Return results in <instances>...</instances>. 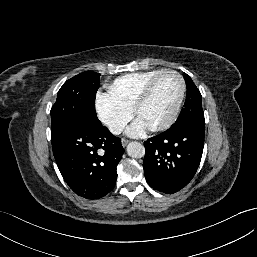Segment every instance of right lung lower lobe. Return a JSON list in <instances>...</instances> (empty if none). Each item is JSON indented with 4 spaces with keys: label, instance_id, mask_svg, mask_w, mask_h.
Segmentation results:
<instances>
[{
    "label": "right lung lower lobe",
    "instance_id": "right-lung-lower-lobe-1",
    "mask_svg": "<svg viewBox=\"0 0 257 257\" xmlns=\"http://www.w3.org/2000/svg\"><path fill=\"white\" fill-rule=\"evenodd\" d=\"M51 139L57 166L77 195L97 199L114 188L124 148L106 127L67 126Z\"/></svg>",
    "mask_w": 257,
    "mask_h": 257
}]
</instances>
